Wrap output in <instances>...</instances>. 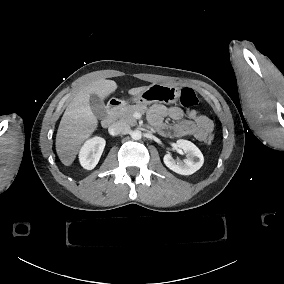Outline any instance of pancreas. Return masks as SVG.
Listing matches in <instances>:
<instances>
[{"instance_id": "obj_1", "label": "pancreas", "mask_w": 284, "mask_h": 284, "mask_svg": "<svg viewBox=\"0 0 284 284\" xmlns=\"http://www.w3.org/2000/svg\"><path fill=\"white\" fill-rule=\"evenodd\" d=\"M148 111L147 105H132V106H125L120 109L117 113V117L120 121L129 124L130 126H135L137 121L133 117L135 112L140 113L141 115L146 114Z\"/></svg>"}]
</instances>
